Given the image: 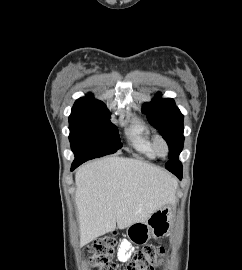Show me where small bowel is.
I'll return each instance as SVG.
<instances>
[{"mask_svg":"<svg viewBox=\"0 0 242 270\" xmlns=\"http://www.w3.org/2000/svg\"><path fill=\"white\" fill-rule=\"evenodd\" d=\"M130 250V246L128 244V242L126 241H122L121 245H120V248H119V251H118V258L120 260H126L128 259L129 255H128V252Z\"/></svg>","mask_w":242,"mask_h":270,"instance_id":"1","label":"small bowel"}]
</instances>
